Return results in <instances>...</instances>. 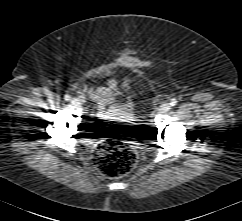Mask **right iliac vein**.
I'll use <instances>...</instances> for the list:
<instances>
[{"mask_svg":"<svg viewBox=\"0 0 242 221\" xmlns=\"http://www.w3.org/2000/svg\"><path fill=\"white\" fill-rule=\"evenodd\" d=\"M72 105H73L74 108H78L80 106V103H79L78 100H73Z\"/></svg>","mask_w":242,"mask_h":221,"instance_id":"obj_1","label":"right iliac vein"}]
</instances>
